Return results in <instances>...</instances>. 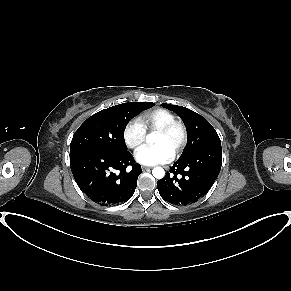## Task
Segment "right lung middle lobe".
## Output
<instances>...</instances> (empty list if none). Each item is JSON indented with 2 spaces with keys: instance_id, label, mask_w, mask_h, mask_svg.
<instances>
[{
  "instance_id": "dd1d6c3e",
  "label": "right lung middle lobe",
  "mask_w": 291,
  "mask_h": 291,
  "mask_svg": "<svg viewBox=\"0 0 291 291\" xmlns=\"http://www.w3.org/2000/svg\"><path fill=\"white\" fill-rule=\"evenodd\" d=\"M151 102H129L101 110L75 132L70 154L81 151L121 153L127 151L124 130L136 114L153 107Z\"/></svg>"
}]
</instances>
